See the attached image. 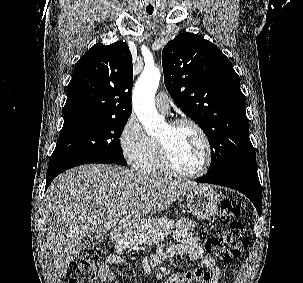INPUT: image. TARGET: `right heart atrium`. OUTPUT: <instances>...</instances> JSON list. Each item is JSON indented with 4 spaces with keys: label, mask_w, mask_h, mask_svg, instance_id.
<instances>
[{
    "label": "right heart atrium",
    "mask_w": 303,
    "mask_h": 283,
    "mask_svg": "<svg viewBox=\"0 0 303 283\" xmlns=\"http://www.w3.org/2000/svg\"><path fill=\"white\" fill-rule=\"evenodd\" d=\"M153 139L147 135L135 116L125 122L120 135L119 144L125 160L132 166H138L148 155Z\"/></svg>",
    "instance_id": "right-heart-atrium-1"
}]
</instances>
